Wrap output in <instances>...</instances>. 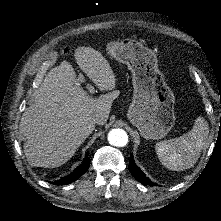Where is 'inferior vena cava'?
I'll return each mask as SVG.
<instances>
[{"label": "inferior vena cava", "instance_id": "1", "mask_svg": "<svg viewBox=\"0 0 221 221\" xmlns=\"http://www.w3.org/2000/svg\"><path fill=\"white\" fill-rule=\"evenodd\" d=\"M99 119H100V116H99V114H96V113L90 114L89 117H88L89 123H90L91 125H93V126H94L96 123H98Z\"/></svg>", "mask_w": 221, "mask_h": 221}]
</instances>
